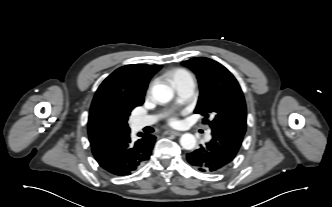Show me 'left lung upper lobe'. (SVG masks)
I'll return each instance as SVG.
<instances>
[{
	"label": "left lung upper lobe",
	"instance_id": "5c2ea615",
	"mask_svg": "<svg viewBox=\"0 0 332 207\" xmlns=\"http://www.w3.org/2000/svg\"><path fill=\"white\" fill-rule=\"evenodd\" d=\"M182 64L197 74L200 96L195 109L205 117L203 123L212 130L244 135L246 104L242 90L229 70L205 57L192 58ZM209 114L213 120L209 121Z\"/></svg>",
	"mask_w": 332,
	"mask_h": 207
}]
</instances>
